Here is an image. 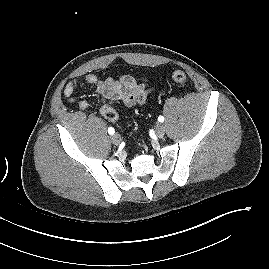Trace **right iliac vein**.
<instances>
[{
  "label": "right iliac vein",
  "mask_w": 269,
  "mask_h": 269,
  "mask_svg": "<svg viewBox=\"0 0 269 269\" xmlns=\"http://www.w3.org/2000/svg\"><path fill=\"white\" fill-rule=\"evenodd\" d=\"M111 141L113 144L118 145L121 141V137L118 133H115L111 136Z\"/></svg>",
  "instance_id": "63e3f726"
}]
</instances>
